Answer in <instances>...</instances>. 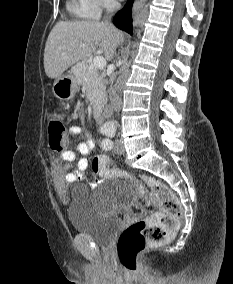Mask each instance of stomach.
<instances>
[{
	"instance_id": "obj_1",
	"label": "stomach",
	"mask_w": 233,
	"mask_h": 284,
	"mask_svg": "<svg viewBox=\"0 0 233 284\" xmlns=\"http://www.w3.org/2000/svg\"><path fill=\"white\" fill-rule=\"evenodd\" d=\"M78 88V79L72 70L71 73L58 76L53 84V93L60 100H69L74 97Z\"/></svg>"
}]
</instances>
